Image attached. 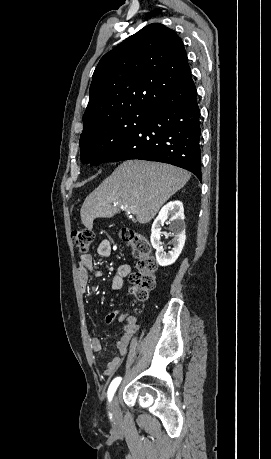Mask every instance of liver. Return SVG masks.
Instances as JSON below:
<instances>
[{
  "mask_svg": "<svg viewBox=\"0 0 271 459\" xmlns=\"http://www.w3.org/2000/svg\"><path fill=\"white\" fill-rule=\"evenodd\" d=\"M190 178V172L169 164L127 160L85 198L81 222L92 229L95 218H112L122 208H133L138 222L147 224Z\"/></svg>",
  "mask_w": 271,
  "mask_h": 459,
  "instance_id": "obj_1",
  "label": "liver"
}]
</instances>
